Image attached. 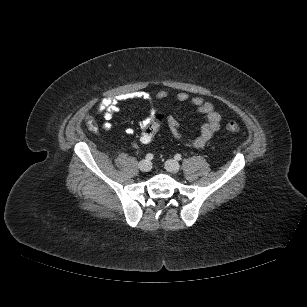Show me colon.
<instances>
[{"label":"colon","instance_id":"5ec220e1","mask_svg":"<svg viewBox=\"0 0 307 307\" xmlns=\"http://www.w3.org/2000/svg\"><path fill=\"white\" fill-rule=\"evenodd\" d=\"M164 115L163 114H157L155 116L154 122L149 124L146 128H144L140 135V142L142 144H150L158 130L159 124L163 121ZM88 124L90 126H94L95 123L92 119L88 120ZM226 128L231 133H237L239 131V126L236 121L234 120H228L226 122Z\"/></svg>","mask_w":307,"mask_h":307}]
</instances>
